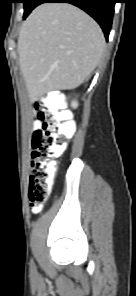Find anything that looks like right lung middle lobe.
Masks as SVG:
<instances>
[{
    "label": "right lung middle lobe",
    "mask_w": 136,
    "mask_h": 296,
    "mask_svg": "<svg viewBox=\"0 0 136 296\" xmlns=\"http://www.w3.org/2000/svg\"><path fill=\"white\" fill-rule=\"evenodd\" d=\"M24 3V16L25 19L28 14L37 6L38 0H22Z\"/></svg>",
    "instance_id": "right-lung-middle-lobe-1"
}]
</instances>
